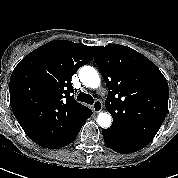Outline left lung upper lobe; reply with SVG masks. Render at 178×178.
<instances>
[{"mask_svg":"<svg viewBox=\"0 0 178 178\" xmlns=\"http://www.w3.org/2000/svg\"><path fill=\"white\" fill-rule=\"evenodd\" d=\"M95 62L109 90L106 109L110 129L149 144L168 110V83L148 58L119 44L93 46Z\"/></svg>","mask_w":178,"mask_h":178,"instance_id":"left-lung-upper-lobe-1","label":"left lung upper lobe"}]
</instances>
